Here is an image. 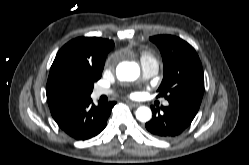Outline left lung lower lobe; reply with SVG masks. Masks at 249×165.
<instances>
[{
  "instance_id": "1",
  "label": "left lung lower lobe",
  "mask_w": 249,
  "mask_h": 165,
  "mask_svg": "<svg viewBox=\"0 0 249 165\" xmlns=\"http://www.w3.org/2000/svg\"><path fill=\"white\" fill-rule=\"evenodd\" d=\"M151 109L153 117L145 124L146 129L156 137L168 139L188 128L199 108L184 102L169 101L168 106H152Z\"/></svg>"
}]
</instances>
